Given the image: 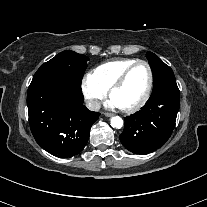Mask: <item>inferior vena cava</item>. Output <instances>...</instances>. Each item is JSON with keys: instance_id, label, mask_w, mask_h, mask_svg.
Listing matches in <instances>:
<instances>
[{"instance_id": "obj_1", "label": "inferior vena cava", "mask_w": 207, "mask_h": 207, "mask_svg": "<svg viewBox=\"0 0 207 207\" xmlns=\"http://www.w3.org/2000/svg\"><path fill=\"white\" fill-rule=\"evenodd\" d=\"M86 107L91 111H98L100 109V102L98 100L86 101Z\"/></svg>"}]
</instances>
